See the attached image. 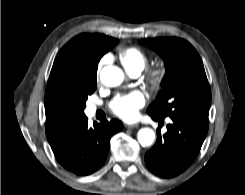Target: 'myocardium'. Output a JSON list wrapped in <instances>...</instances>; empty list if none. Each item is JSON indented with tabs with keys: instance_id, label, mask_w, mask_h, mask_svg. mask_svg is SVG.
<instances>
[{
	"instance_id": "obj_1",
	"label": "myocardium",
	"mask_w": 245,
	"mask_h": 195,
	"mask_svg": "<svg viewBox=\"0 0 245 195\" xmlns=\"http://www.w3.org/2000/svg\"><path fill=\"white\" fill-rule=\"evenodd\" d=\"M168 77L166 65H159L148 71L147 80L153 88H160L164 85Z\"/></svg>"
}]
</instances>
